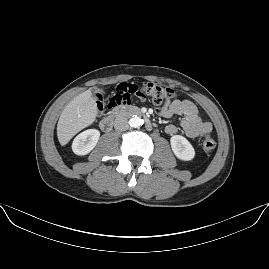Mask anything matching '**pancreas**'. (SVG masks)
Masks as SVG:
<instances>
[{"mask_svg":"<svg viewBox=\"0 0 269 269\" xmlns=\"http://www.w3.org/2000/svg\"><path fill=\"white\" fill-rule=\"evenodd\" d=\"M129 109H131V110H139L138 107H133V106H129Z\"/></svg>","mask_w":269,"mask_h":269,"instance_id":"cf45deb5","label":"pancreas"}]
</instances>
